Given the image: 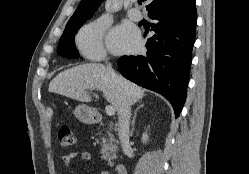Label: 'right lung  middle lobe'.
<instances>
[{"label": "right lung middle lobe", "mask_w": 249, "mask_h": 174, "mask_svg": "<svg viewBox=\"0 0 249 174\" xmlns=\"http://www.w3.org/2000/svg\"><path fill=\"white\" fill-rule=\"evenodd\" d=\"M85 21L68 23L60 38L57 53L65 58H79V53L74 44V38L78 29Z\"/></svg>", "instance_id": "dd1d6c3e"}]
</instances>
